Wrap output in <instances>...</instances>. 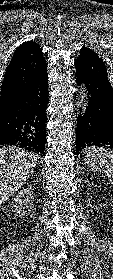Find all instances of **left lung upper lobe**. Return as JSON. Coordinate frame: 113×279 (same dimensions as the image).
Masks as SVG:
<instances>
[{
  "label": "left lung upper lobe",
  "instance_id": "left-lung-upper-lobe-1",
  "mask_svg": "<svg viewBox=\"0 0 113 279\" xmlns=\"http://www.w3.org/2000/svg\"><path fill=\"white\" fill-rule=\"evenodd\" d=\"M82 49L95 53L94 51H92L91 49H89V48H87V47H83Z\"/></svg>",
  "mask_w": 113,
  "mask_h": 279
}]
</instances>
